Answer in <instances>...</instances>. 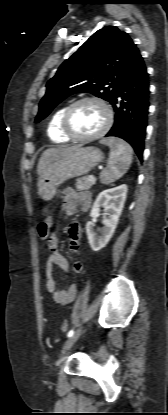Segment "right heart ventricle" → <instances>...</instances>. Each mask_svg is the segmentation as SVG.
Segmentation results:
<instances>
[{
	"label": "right heart ventricle",
	"mask_w": 168,
	"mask_h": 415,
	"mask_svg": "<svg viewBox=\"0 0 168 415\" xmlns=\"http://www.w3.org/2000/svg\"><path fill=\"white\" fill-rule=\"evenodd\" d=\"M67 106H62L57 109L50 118L47 127V135L49 139L54 143H66L69 142V138L66 137L61 130V118L64 110Z\"/></svg>",
	"instance_id": "right-heart-ventricle-1"
}]
</instances>
